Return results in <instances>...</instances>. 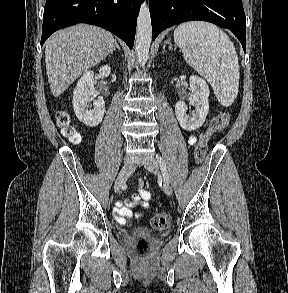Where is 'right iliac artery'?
<instances>
[{
    "label": "right iliac artery",
    "instance_id": "82829eb1",
    "mask_svg": "<svg viewBox=\"0 0 288 293\" xmlns=\"http://www.w3.org/2000/svg\"><path fill=\"white\" fill-rule=\"evenodd\" d=\"M123 164H124L125 167H128V166H129V164H130V159H128L127 156H124V157H123Z\"/></svg>",
    "mask_w": 288,
    "mask_h": 293
}]
</instances>
